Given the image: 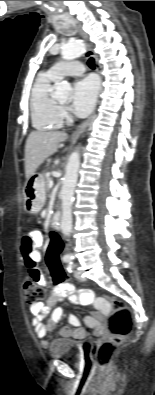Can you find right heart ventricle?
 <instances>
[{"label": "right heart ventricle", "mask_w": 155, "mask_h": 395, "mask_svg": "<svg viewBox=\"0 0 155 395\" xmlns=\"http://www.w3.org/2000/svg\"><path fill=\"white\" fill-rule=\"evenodd\" d=\"M57 78L49 72L38 75L30 94L31 122L35 129L45 131L58 129L62 125L60 107L52 95Z\"/></svg>", "instance_id": "obj_1"}]
</instances>
